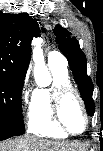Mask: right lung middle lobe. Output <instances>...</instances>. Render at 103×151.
Listing matches in <instances>:
<instances>
[{
    "instance_id": "right-lung-middle-lobe-1",
    "label": "right lung middle lobe",
    "mask_w": 103,
    "mask_h": 151,
    "mask_svg": "<svg viewBox=\"0 0 103 151\" xmlns=\"http://www.w3.org/2000/svg\"><path fill=\"white\" fill-rule=\"evenodd\" d=\"M24 77L0 70V138L22 135L21 91Z\"/></svg>"
}]
</instances>
